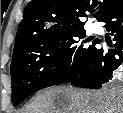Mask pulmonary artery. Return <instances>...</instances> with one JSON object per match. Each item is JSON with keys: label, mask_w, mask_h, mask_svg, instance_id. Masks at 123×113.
I'll return each mask as SVG.
<instances>
[{"label": "pulmonary artery", "mask_w": 123, "mask_h": 113, "mask_svg": "<svg viewBox=\"0 0 123 113\" xmlns=\"http://www.w3.org/2000/svg\"><path fill=\"white\" fill-rule=\"evenodd\" d=\"M92 30L94 31V32H98V27H97V25H92Z\"/></svg>", "instance_id": "1"}]
</instances>
